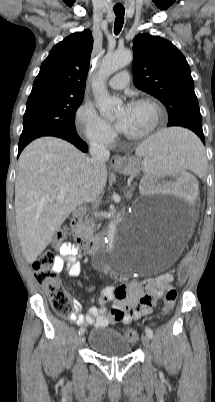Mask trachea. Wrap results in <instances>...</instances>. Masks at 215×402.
I'll use <instances>...</instances> for the list:
<instances>
[{
  "instance_id": "1",
  "label": "trachea",
  "mask_w": 215,
  "mask_h": 402,
  "mask_svg": "<svg viewBox=\"0 0 215 402\" xmlns=\"http://www.w3.org/2000/svg\"><path fill=\"white\" fill-rule=\"evenodd\" d=\"M116 19L114 23V33L118 35L123 27L124 24V14L125 10L124 9H114Z\"/></svg>"
}]
</instances>
